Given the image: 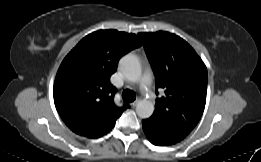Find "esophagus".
Instances as JSON below:
<instances>
[{"instance_id": "obj_1", "label": "esophagus", "mask_w": 261, "mask_h": 162, "mask_svg": "<svg viewBox=\"0 0 261 162\" xmlns=\"http://www.w3.org/2000/svg\"><path fill=\"white\" fill-rule=\"evenodd\" d=\"M137 104H138V100H136V101H134L133 103H131V106L134 108V107L137 106Z\"/></svg>"}]
</instances>
